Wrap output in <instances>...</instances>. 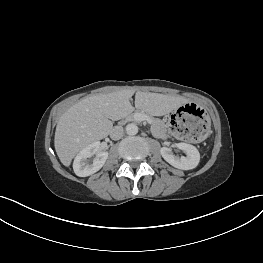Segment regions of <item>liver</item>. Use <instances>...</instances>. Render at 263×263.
<instances>
[{"label":"liver","mask_w":263,"mask_h":263,"mask_svg":"<svg viewBox=\"0 0 263 263\" xmlns=\"http://www.w3.org/2000/svg\"><path fill=\"white\" fill-rule=\"evenodd\" d=\"M135 91H120L82 98L61 115L56 126L54 145L63 165L69 166L75 155L89 144L108 136L113 128L111 120L130 114L134 107L130 98ZM186 103L181 96L136 91L135 108L155 116H162ZM111 119V120H110Z\"/></svg>","instance_id":"6515ba94"}]
</instances>
